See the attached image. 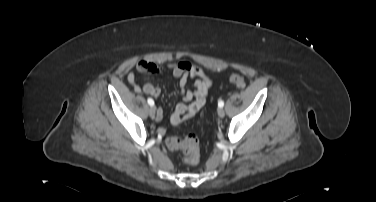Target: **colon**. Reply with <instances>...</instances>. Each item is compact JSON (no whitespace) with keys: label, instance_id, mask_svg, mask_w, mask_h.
I'll return each instance as SVG.
<instances>
[{"label":"colon","instance_id":"1","mask_svg":"<svg viewBox=\"0 0 376 202\" xmlns=\"http://www.w3.org/2000/svg\"><path fill=\"white\" fill-rule=\"evenodd\" d=\"M229 81L237 88H242L245 85V79L240 74H231ZM166 144L169 149L182 152L184 163L197 165L200 162V145L196 135L189 134L185 137L170 136L167 138Z\"/></svg>","mask_w":376,"mask_h":202}]
</instances>
